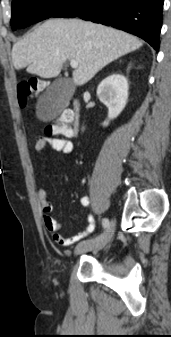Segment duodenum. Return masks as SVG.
Returning <instances> with one entry per match:
<instances>
[{
    "instance_id": "obj_1",
    "label": "duodenum",
    "mask_w": 171,
    "mask_h": 337,
    "mask_svg": "<svg viewBox=\"0 0 171 337\" xmlns=\"http://www.w3.org/2000/svg\"><path fill=\"white\" fill-rule=\"evenodd\" d=\"M74 108L72 110H67L64 112L65 115H67V119L72 124V131L73 134L76 135L78 132V107L79 103L77 100H74Z\"/></svg>"
}]
</instances>
